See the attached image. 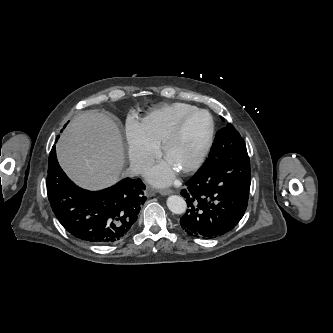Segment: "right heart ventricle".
I'll return each mask as SVG.
<instances>
[{"label":"right heart ventricle","instance_id":"1","mask_svg":"<svg viewBox=\"0 0 333 333\" xmlns=\"http://www.w3.org/2000/svg\"><path fill=\"white\" fill-rule=\"evenodd\" d=\"M195 108L188 103L175 102L150 110L141 122L147 138L157 147L161 146L178 120Z\"/></svg>","mask_w":333,"mask_h":333}]
</instances>
